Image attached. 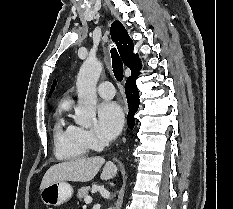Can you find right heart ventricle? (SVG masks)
Wrapping results in <instances>:
<instances>
[{
    "label": "right heart ventricle",
    "mask_w": 233,
    "mask_h": 209,
    "mask_svg": "<svg viewBox=\"0 0 233 209\" xmlns=\"http://www.w3.org/2000/svg\"><path fill=\"white\" fill-rule=\"evenodd\" d=\"M71 108V100L59 101L54 113V147L55 155L60 160H77L85 157L89 149L78 139L76 127L69 123L66 114Z\"/></svg>",
    "instance_id": "1"
}]
</instances>
